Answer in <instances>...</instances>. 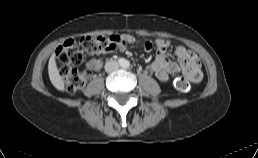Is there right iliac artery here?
Segmentation results:
<instances>
[{
    "label": "right iliac artery",
    "instance_id": "1",
    "mask_svg": "<svg viewBox=\"0 0 258 158\" xmlns=\"http://www.w3.org/2000/svg\"><path fill=\"white\" fill-rule=\"evenodd\" d=\"M118 62H119L120 64H122V63H123V59L120 58V59L118 60Z\"/></svg>",
    "mask_w": 258,
    "mask_h": 158
}]
</instances>
